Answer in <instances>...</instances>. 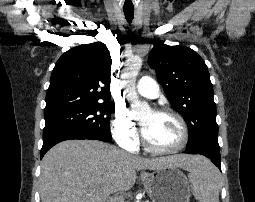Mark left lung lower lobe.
Instances as JSON below:
<instances>
[{"label": "left lung lower lobe", "mask_w": 255, "mask_h": 202, "mask_svg": "<svg viewBox=\"0 0 255 202\" xmlns=\"http://www.w3.org/2000/svg\"><path fill=\"white\" fill-rule=\"evenodd\" d=\"M185 153H189V154H200V155H204L206 157H208L220 170H221V158H220V152H202V153H191L188 152L187 150L185 151Z\"/></svg>", "instance_id": "obj_1"}]
</instances>
